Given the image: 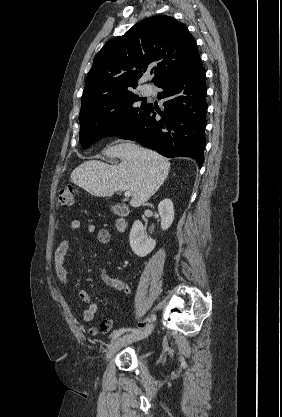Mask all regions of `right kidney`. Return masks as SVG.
Returning <instances> with one entry per match:
<instances>
[{
	"mask_svg": "<svg viewBox=\"0 0 282 417\" xmlns=\"http://www.w3.org/2000/svg\"><path fill=\"white\" fill-rule=\"evenodd\" d=\"M158 211L161 217V229L167 231L174 221V204L171 198H164L158 204ZM130 247L137 257H146L155 249L156 241L146 235L141 221H135L129 235Z\"/></svg>",
	"mask_w": 282,
	"mask_h": 417,
	"instance_id": "1",
	"label": "right kidney"
}]
</instances>
